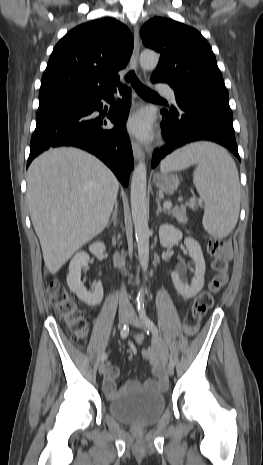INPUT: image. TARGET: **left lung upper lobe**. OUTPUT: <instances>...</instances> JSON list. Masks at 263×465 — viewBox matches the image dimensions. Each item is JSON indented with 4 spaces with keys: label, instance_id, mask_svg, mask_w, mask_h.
Returning <instances> with one entry per match:
<instances>
[{
    "label": "left lung upper lobe",
    "instance_id": "left-lung-upper-lobe-1",
    "mask_svg": "<svg viewBox=\"0 0 263 465\" xmlns=\"http://www.w3.org/2000/svg\"><path fill=\"white\" fill-rule=\"evenodd\" d=\"M143 44L161 54L152 79L183 89L195 101H229L212 48L194 28L155 17L140 30Z\"/></svg>",
    "mask_w": 263,
    "mask_h": 465
}]
</instances>
